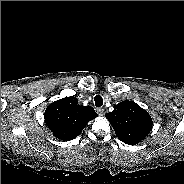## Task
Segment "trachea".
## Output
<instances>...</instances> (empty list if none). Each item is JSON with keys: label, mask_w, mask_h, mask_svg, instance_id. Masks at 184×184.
Masks as SVG:
<instances>
[{"label": "trachea", "mask_w": 184, "mask_h": 184, "mask_svg": "<svg viewBox=\"0 0 184 184\" xmlns=\"http://www.w3.org/2000/svg\"><path fill=\"white\" fill-rule=\"evenodd\" d=\"M96 107H101L103 105V98L100 95L94 97Z\"/></svg>", "instance_id": "1"}]
</instances>
